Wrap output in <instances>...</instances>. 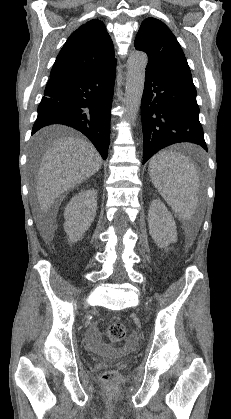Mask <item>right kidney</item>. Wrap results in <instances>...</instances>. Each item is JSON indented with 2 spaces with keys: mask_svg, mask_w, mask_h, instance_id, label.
Listing matches in <instances>:
<instances>
[{
  "mask_svg": "<svg viewBox=\"0 0 231 419\" xmlns=\"http://www.w3.org/2000/svg\"><path fill=\"white\" fill-rule=\"evenodd\" d=\"M97 210V191L83 190L75 195L64 211V230L71 242L79 241L94 221Z\"/></svg>",
  "mask_w": 231,
  "mask_h": 419,
  "instance_id": "1",
  "label": "right kidney"
}]
</instances>
